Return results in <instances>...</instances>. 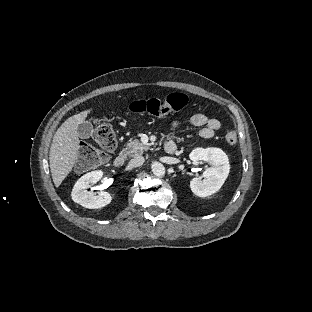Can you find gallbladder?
I'll list each match as a JSON object with an SVG mask.
<instances>
[{
	"instance_id": "bac80fb5",
	"label": "gallbladder",
	"mask_w": 312,
	"mask_h": 312,
	"mask_svg": "<svg viewBox=\"0 0 312 312\" xmlns=\"http://www.w3.org/2000/svg\"><path fill=\"white\" fill-rule=\"evenodd\" d=\"M92 130V124L87 121L79 124L78 126V133L81 138H89Z\"/></svg>"
}]
</instances>
